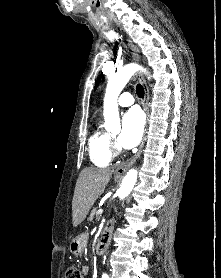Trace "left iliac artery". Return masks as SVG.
<instances>
[{"label":"left iliac artery","instance_id":"obj_1","mask_svg":"<svg viewBox=\"0 0 221 278\" xmlns=\"http://www.w3.org/2000/svg\"><path fill=\"white\" fill-rule=\"evenodd\" d=\"M102 278H109V276L105 273H103Z\"/></svg>","mask_w":221,"mask_h":278}]
</instances>
